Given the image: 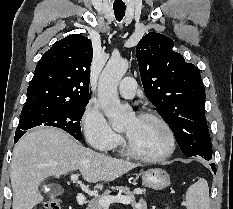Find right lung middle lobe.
Masks as SVG:
<instances>
[{"label": "right lung middle lobe", "mask_w": 233, "mask_h": 209, "mask_svg": "<svg viewBox=\"0 0 233 209\" xmlns=\"http://www.w3.org/2000/svg\"><path fill=\"white\" fill-rule=\"evenodd\" d=\"M88 102L24 105L15 136H22L25 130L42 125L61 128L81 140L80 121Z\"/></svg>", "instance_id": "obj_1"}]
</instances>
